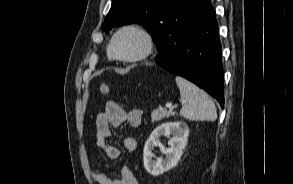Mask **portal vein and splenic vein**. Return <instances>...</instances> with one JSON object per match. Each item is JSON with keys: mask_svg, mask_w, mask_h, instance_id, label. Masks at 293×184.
Wrapping results in <instances>:
<instances>
[{"mask_svg": "<svg viewBox=\"0 0 293 184\" xmlns=\"http://www.w3.org/2000/svg\"><path fill=\"white\" fill-rule=\"evenodd\" d=\"M183 103H185V102H184V101H182V104H183ZM165 106H166V108H167V109H173V108H174V106H173V104H172V103H166V105H165Z\"/></svg>", "mask_w": 293, "mask_h": 184, "instance_id": "portal-vein-and-splenic-vein-1", "label": "portal vein and splenic vein"}]
</instances>
